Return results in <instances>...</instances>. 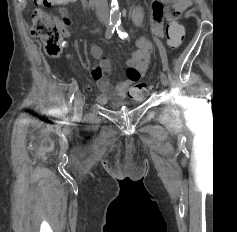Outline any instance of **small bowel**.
I'll return each mask as SVG.
<instances>
[{
    "instance_id": "1",
    "label": "small bowel",
    "mask_w": 237,
    "mask_h": 232,
    "mask_svg": "<svg viewBox=\"0 0 237 232\" xmlns=\"http://www.w3.org/2000/svg\"><path fill=\"white\" fill-rule=\"evenodd\" d=\"M65 4L76 2L77 0H65ZM191 0H151V32L150 36L158 38L164 37V21L177 20L180 15L190 5ZM60 13L65 15L66 9L60 8ZM133 20L137 28L141 26L139 12H133ZM65 35L69 34L66 25L58 21ZM138 49L131 52L126 61V78L118 84H112L109 75L111 72V61L102 56V49L97 44L90 46L91 54L99 59V64L93 68L92 76L96 80L100 94L97 101L105 104L110 100L122 101L127 97L137 101L146 98L149 88L141 83L140 79L147 73L152 53L153 42L151 37L141 36L138 41Z\"/></svg>"
}]
</instances>
